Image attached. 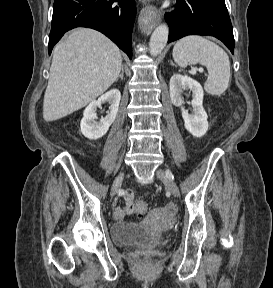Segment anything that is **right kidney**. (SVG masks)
I'll return each mask as SVG.
<instances>
[{
	"instance_id": "ca27d5eb",
	"label": "right kidney",
	"mask_w": 273,
	"mask_h": 288,
	"mask_svg": "<svg viewBox=\"0 0 273 288\" xmlns=\"http://www.w3.org/2000/svg\"><path fill=\"white\" fill-rule=\"evenodd\" d=\"M120 99V91L118 89H112L99 97L98 100L92 101L86 107L80 122L81 132L86 138L97 140L107 133L117 116ZM103 103L110 104L109 111L104 118L97 122L96 110L98 107H101Z\"/></svg>"
}]
</instances>
